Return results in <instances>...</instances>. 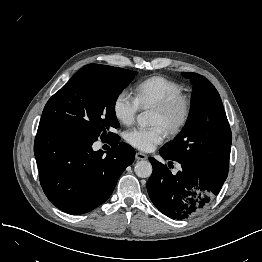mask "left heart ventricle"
I'll return each instance as SVG.
<instances>
[{"label":"left heart ventricle","mask_w":262,"mask_h":262,"mask_svg":"<svg viewBox=\"0 0 262 262\" xmlns=\"http://www.w3.org/2000/svg\"><path fill=\"white\" fill-rule=\"evenodd\" d=\"M152 124L156 125V124H161L164 127H166L167 124V120L166 118L161 115L159 112H157L156 110H153V115H152Z\"/></svg>","instance_id":"left-heart-ventricle-1"}]
</instances>
